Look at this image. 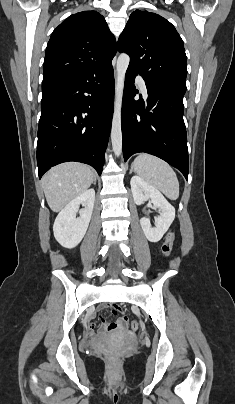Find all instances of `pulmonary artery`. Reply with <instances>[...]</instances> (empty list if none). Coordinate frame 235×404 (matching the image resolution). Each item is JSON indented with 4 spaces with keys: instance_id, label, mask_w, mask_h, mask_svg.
I'll return each mask as SVG.
<instances>
[{
    "instance_id": "pulmonary-artery-1",
    "label": "pulmonary artery",
    "mask_w": 235,
    "mask_h": 404,
    "mask_svg": "<svg viewBox=\"0 0 235 404\" xmlns=\"http://www.w3.org/2000/svg\"><path fill=\"white\" fill-rule=\"evenodd\" d=\"M136 82L145 96H147V88L144 80L141 77L136 78Z\"/></svg>"
}]
</instances>
